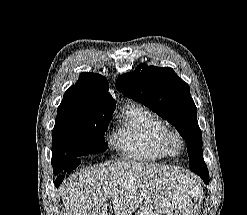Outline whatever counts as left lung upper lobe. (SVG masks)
I'll return each instance as SVG.
<instances>
[{
	"label": "left lung upper lobe",
	"mask_w": 247,
	"mask_h": 215,
	"mask_svg": "<svg viewBox=\"0 0 247 215\" xmlns=\"http://www.w3.org/2000/svg\"><path fill=\"white\" fill-rule=\"evenodd\" d=\"M116 88L175 126L188 146L190 170L205 164L197 108L189 85L172 68L140 64L135 72L121 75L116 81Z\"/></svg>",
	"instance_id": "obj_1"
}]
</instances>
